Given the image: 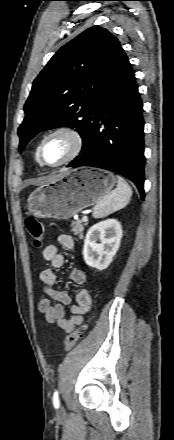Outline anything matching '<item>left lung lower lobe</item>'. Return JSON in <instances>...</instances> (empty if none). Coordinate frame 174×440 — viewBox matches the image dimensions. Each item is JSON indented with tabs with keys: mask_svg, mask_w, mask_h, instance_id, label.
<instances>
[{
	"mask_svg": "<svg viewBox=\"0 0 174 440\" xmlns=\"http://www.w3.org/2000/svg\"><path fill=\"white\" fill-rule=\"evenodd\" d=\"M142 106L133 69L123 53L92 104L81 154L67 167L92 166L118 173L131 180L144 199Z\"/></svg>",
	"mask_w": 174,
	"mask_h": 440,
	"instance_id": "0a47b994",
	"label": "left lung lower lobe"
}]
</instances>
